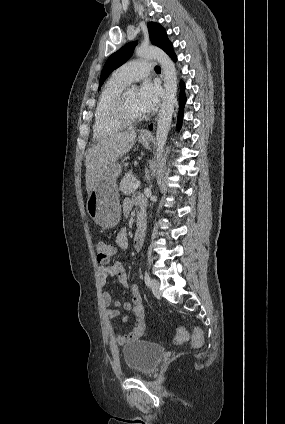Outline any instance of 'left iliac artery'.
<instances>
[{
	"mask_svg": "<svg viewBox=\"0 0 285 424\" xmlns=\"http://www.w3.org/2000/svg\"><path fill=\"white\" fill-rule=\"evenodd\" d=\"M144 281H145V284L147 286H150L151 280H150V276L147 272H145Z\"/></svg>",
	"mask_w": 285,
	"mask_h": 424,
	"instance_id": "44dca946",
	"label": "left iliac artery"
}]
</instances>
